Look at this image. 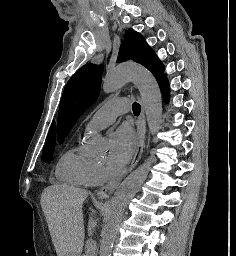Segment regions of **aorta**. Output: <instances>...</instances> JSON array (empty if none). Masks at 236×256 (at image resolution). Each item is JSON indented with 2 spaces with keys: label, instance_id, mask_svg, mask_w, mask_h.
<instances>
[{
  "label": "aorta",
  "instance_id": "aorta-1",
  "mask_svg": "<svg viewBox=\"0 0 236 256\" xmlns=\"http://www.w3.org/2000/svg\"><path fill=\"white\" fill-rule=\"evenodd\" d=\"M128 81H132L140 92L149 131L155 136L161 129L162 100L156 79L147 69L136 64L120 65L106 74L102 84V91L104 93L114 92ZM156 141L157 139L154 137L153 142ZM87 142L95 150H100L102 147L101 140L95 134L87 135ZM154 160L155 158L151 156L134 170L121 183L112 197L108 210L107 224L101 233L100 256H111L113 243L124 211L147 179Z\"/></svg>",
  "mask_w": 236,
  "mask_h": 256
}]
</instances>
